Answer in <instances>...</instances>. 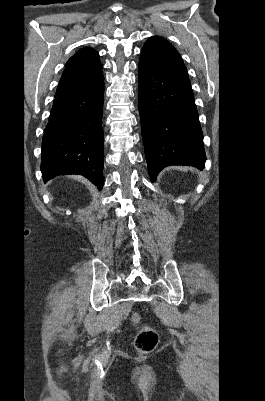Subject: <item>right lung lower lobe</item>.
<instances>
[{
    "mask_svg": "<svg viewBox=\"0 0 265 401\" xmlns=\"http://www.w3.org/2000/svg\"><path fill=\"white\" fill-rule=\"evenodd\" d=\"M104 80L95 88L55 97L42 139L41 171L46 182L79 174L103 186Z\"/></svg>",
    "mask_w": 265,
    "mask_h": 401,
    "instance_id": "1",
    "label": "right lung lower lobe"
}]
</instances>
